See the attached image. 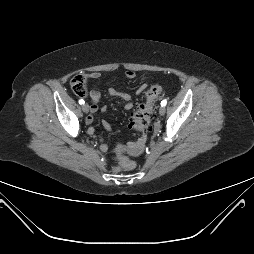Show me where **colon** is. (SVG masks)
I'll use <instances>...</instances> for the list:
<instances>
[{
	"label": "colon",
	"instance_id": "colon-1",
	"mask_svg": "<svg viewBox=\"0 0 254 254\" xmlns=\"http://www.w3.org/2000/svg\"><path fill=\"white\" fill-rule=\"evenodd\" d=\"M71 88L77 96H85L87 93L86 79L76 76L71 80ZM163 96V89L158 85L149 88L145 93V101L137 105L132 113L130 127L138 134L144 136L151 128V123L155 117L157 101ZM115 158L117 160L116 170L129 171L135 168V163L129 159L123 147L115 148Z\"/></svg>",
	"mask_w": 254,
	"mask_h": 254
}]
</instances>
